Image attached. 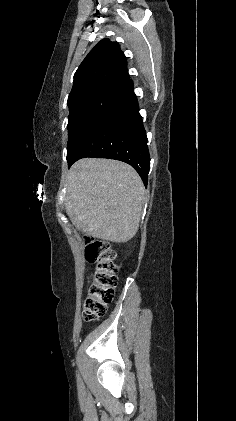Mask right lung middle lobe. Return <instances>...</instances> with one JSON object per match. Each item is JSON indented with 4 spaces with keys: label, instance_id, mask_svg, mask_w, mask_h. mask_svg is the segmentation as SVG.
I'll return each instance as SVG.
<instances>
[{
    "label": "right lung middle lobe",
    "instance_id": "dd1d6c3e",
    "mask_svg": "<svg viewBox=\"0 0 236 421\" xmlns=\"http://www.w3.org/2000/svg\"><path fill=\"white\" fill-rule=\"evenodd\" d=\"M130 92L122 86H105L90 89L68 99V150L72 159L82 140L123 102Z\"/></svg>",
    "mask_w": 236,
    "mask_h": 421
}]
</instances>
